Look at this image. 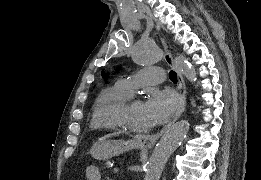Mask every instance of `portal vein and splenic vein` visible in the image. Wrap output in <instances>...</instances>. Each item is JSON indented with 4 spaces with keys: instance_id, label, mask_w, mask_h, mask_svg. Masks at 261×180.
<instances>
[{
    "instance_id": "portal-vein-and-splenic-vein-1",
    "label": "portal vein and splenic vein",
    "mask_w": 261,
    "mask_h": 180,
    "mask_svg": "<svg viewBox=\"0 0 261 180\" xmlns=\"http://www.w3.org/2000/svg\"><path fill=\"white\" fill-rule=\"evenodd\" d=\"M113 172L114 173H119L120 172V169L118 168V166H115V168L113 169Z\"/></svg>"
}]
</instances>
